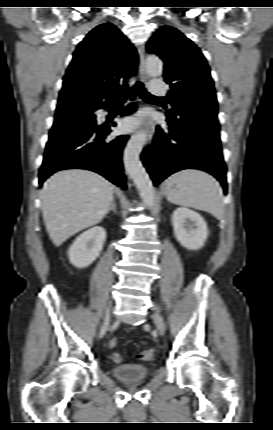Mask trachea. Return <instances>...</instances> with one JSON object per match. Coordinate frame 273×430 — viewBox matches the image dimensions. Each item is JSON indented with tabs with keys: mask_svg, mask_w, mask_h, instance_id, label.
Returning <instances> with one entry per match:
<instances>
[{
	"mask_svg": "<svg viewBox=\"0 0 273 430\" xmlns=\"http://www.w3.org/2000/svg\"><path fill=\"white\" fill-rule=\"evenodd\" d=\"M127 86H128V78H125L124 84L121 88L115 90V93L117 94L116 100L117 101H123L127 98ZM136 92L139 94V96L144 100H160L163 99L162 97H156L151 95L147 90L144 88V85L137 81L134 85Z\"/></svg>",
	"mask_w": 273,
	"mask_h": 430,
	"instance_id": "1",
	"label": "trachea"
}]
</instances>
